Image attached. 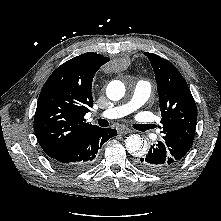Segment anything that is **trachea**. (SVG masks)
Wrapping results in <instances>:
<instances>
[{"instance_id":"3493384b","label":"trachea","mask_w":221,"mask_h":221,"mask_svg":"<svg viewBox=\"0 0 221 221\" xmlns=\"http://www.w3.org/2000/svg\"><path fill=\"white\" fill-rule=\"evenodd\" d=\"M98 124L102 127H106V126H108L109 123L105 119H99Z\"/></svg>"}]
</instances>
